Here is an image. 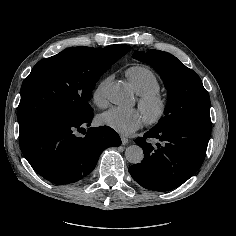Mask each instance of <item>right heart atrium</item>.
Returning a JSON list of instances; mask_svg holds the SVG:
<instances>
[{
  "mask_svg": "<svg viewBox=\"0 0 236 236\" xmlns=\"http://www.w3.org/2000/svg\"><path fill=\"white\" fill-rule=\"evenodd\" d=\"M111 76L105 78L103 81H101L98 86L94 89L93 93H92V99L94 101L95 104L97 105H103L105 103V85L107 83V81L110 79Z\"/></svg>",
  "mask_w": 236,
  "mask_h": 236,
  "instance_id": "1",
  "label": "right heart atrium"
}]
</instances>
